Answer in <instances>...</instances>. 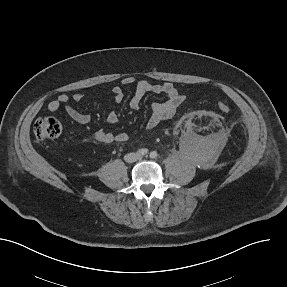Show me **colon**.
<instances>
[{"mask_svg":"<svg viewBox=\"0 0 287 287\" xmlns=\"http://www.w3.org/2000/svg\"><path fill=\"white\" fill-rule=\"evenodd\" d=\"M221 113H228L230 106L225 102H220L217 105ZM62 132V125L55 117L38 118L33 124V133L38 141L52 140L60 136Z\"/></svg>","mask_w":287,"mask_h":287,"instance_id":"obj_1","label":"colon"}]
</instances>
